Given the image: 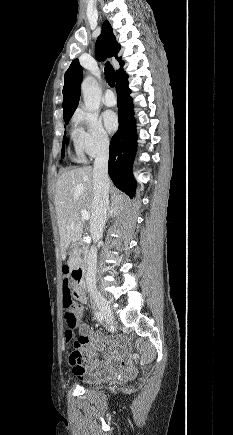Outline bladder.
Here are the masks:
<instances>
[{
    "label": "bladder",
    "instance_id": "31cf9c89",
    "mask_svg": "<svg viewBox=\"0 0 233 435\" xmlns=\"http://www.w3.org/2000/svg\"><path fill=\"white\" fill-rule=\"evenodd\" d=\"M115 379L110 380L108 383H112Z\"/></svg>",
    "mask_w": 233,
    "mask_h": 435
}]
</instances>
